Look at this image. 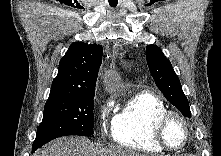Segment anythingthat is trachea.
<instances>
[{"mask_svg": "<svg viewBox=\"0 0 221 156\" xmlns=\"http://www.w3.org/2000/svg\"><path fill=\"white\" fill-rule=\"evenodd\" d=\"M111 0H109V5L111 6V7H116L117 6V0H114V1H116V2H110Z\"/></svg>", "mask_w": 221, "mask_h": 156, "instance_id": "obj_1", "label": "trachea"}]
</instances>
